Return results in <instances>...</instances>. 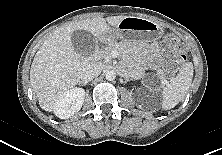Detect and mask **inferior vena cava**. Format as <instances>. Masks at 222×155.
<instances>
[{"mask_svg":"<svg viewBox=\"0 0 222 155\" xmlns=\"http://www.w3.org/2000/svg\"><path fill=\"white\" fill-rule=\"evenodd\" d=\"M102 71V67L99 64H89L85 68H83L80 78L85 81H91L93 78L98 76Z\"/></svg>","mask_w":222,"mask_h":155,"instance_id":"602c4592","label":"inferior vena cava"}]
</instances>
